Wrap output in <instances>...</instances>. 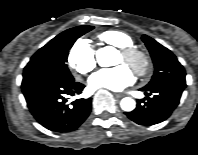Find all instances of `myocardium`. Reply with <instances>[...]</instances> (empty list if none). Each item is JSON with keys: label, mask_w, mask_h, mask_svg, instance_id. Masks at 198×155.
Listing matches in <instances>:
<instances>
[{"label": "myocardium", "mask_w": 198, "mask_h": 155, "mask_svg": "<svg viewBox=\"0 0 198 155\" xmlns=\"http://www.w3.org/2000/svg\"><path fill=\"white\" fill-rule=\"evenodd\" d=\"M123 60L130 65L139 76H145L150 69V58L143 50L130 46L119 50Z\"/></svg>", "instance_id": "myocardium-1"}]
</instances>
